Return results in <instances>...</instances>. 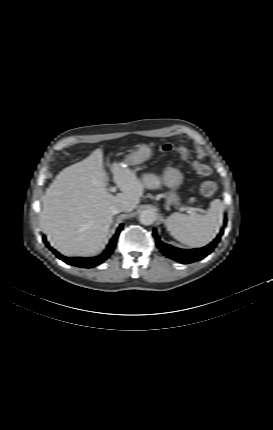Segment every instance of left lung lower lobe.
I'll list each match as a JSON object with an SVG mask.
<instances>
[{
  "instance_id": "left-lung-lower-lobe-1",
  "label": "left lung lower lobe",
  "mask_w": 273,
  "mask_h": 430,
  "mask_svg": "<svg viewBox=\"0 0 273 430\" xmlns=\"http://www.w3.org/2000/svg\"><path fill=\"white\" fill-rule=\"evenodd\" d=\"M222 234H223V230L220 231L219 235L212 243H210L209 245L203 248L186 250V249H179L171 245H168L166 243H163L158 237L156 229H154V232H153V236L156 239L157 247L160 249V251L167 257L183 264H189L194 261L201 260L204 257H206L208 254H210L216 247L217 243L220 241Z\"/></svg>"
}]
</instances>
